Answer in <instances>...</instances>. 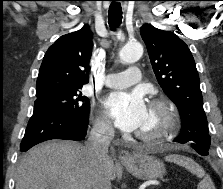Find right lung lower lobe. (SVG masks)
Instances as JSON below:
<instances>
[{"instance_id":"right-lung-lower-lobe-1","label":"right lung lower lobe","mask_w":223,"mask_h":189,"mask_svg":"<svg viewBox=\"0 0 223 189\" xmlns=\"http://www.w3.org/2000/svg\"><path fill=\"white\" fill-rule=\"evenodd\" d=\"M88 117L79 119L65 111L46 107H35L20 151L25 152L34 145L51 139L81 140L85 138Z\"/></svg>"}]
</instances>
